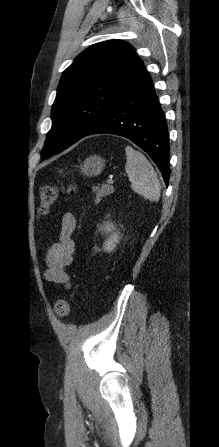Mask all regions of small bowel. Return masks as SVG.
Masks as SVG:
<instances>
[{
  "label": "small bowel",
  "instance_id": "1",
  "mask_svg": "<svg viewBox=\"0 0 219 447\" xmlns=\"http://www.w3.org/2000/svg\"><path fill=\"white\" fill-rule=\"evenodd\" d=\"M76 228V219L72 213H64L60 219L58 241L50 246L46 255L47 269L44 277L47 281L70 287L67 268L73 262L75 242L72 234Z\"/></svg>",
  "mask_w": 219,
  "mask_h": 447
}]
</instances>
